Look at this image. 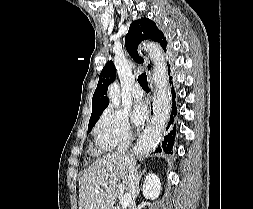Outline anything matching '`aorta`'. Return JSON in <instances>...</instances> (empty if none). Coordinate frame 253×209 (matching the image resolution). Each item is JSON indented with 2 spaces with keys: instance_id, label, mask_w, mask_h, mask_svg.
I'll return each mask as SVG.
<instances>
[{
  "instance_id": "obj_1",
  "label": "aorta",
  "mask_w": 253,
  "mask_h": 209,
  "mask_svg": "<svg viewBox=\"0 0 253 209\" xmlns=\"http://www.w3.org/2000/svg\"><path fill=\"white\" fill-rule=\"evenodd\" d=\"M108 97L110 102L118 107L120 105V87L119 84L113 83L108 88Z\"/></svg>"
}]
</instances>
